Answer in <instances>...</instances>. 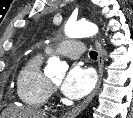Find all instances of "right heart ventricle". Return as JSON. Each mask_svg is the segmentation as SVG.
<instances>
[{"mask_svg": "<svg viewBox=\"0 0 133 118\" xmlns=\"http://www.w3.org/2000/svg\"><path fill=\"white\" fill-rule=\"evenodd\" d=\"M43 56L35 54L27 60L17 78V96L28 107L40 108L51 95V81L43 73Z\"/></svg>", "mask_w": 133, "mask_h": 118, "instance_id": "obj_1", "label": "right heart ventricle"}]
</instances>
